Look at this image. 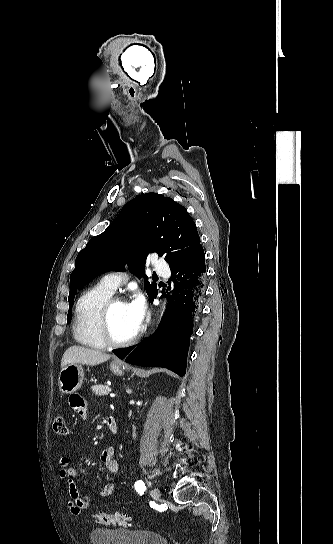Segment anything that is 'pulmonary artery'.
I'll return each instance as SVG.
<instances>
[{"label":"pulmonary artery","mask_w":333,"mask_h":544,"mask_svg":"<svg viewBox=\"0 0 333 544\" xmlns=\"http://www.w3.org/2000/svg\"><path fill=\"white\" fill-rule=\"evenodd\" d=\"M154 269L157 274L168 277L169 268L164 261L158 260L155 262ZM126 280V275L119 272H113L106 274L102 277L100 283L112 292H115L117 288Z\"/></svg>","instance_id":"e3ab8cb5"}]
</instances>
